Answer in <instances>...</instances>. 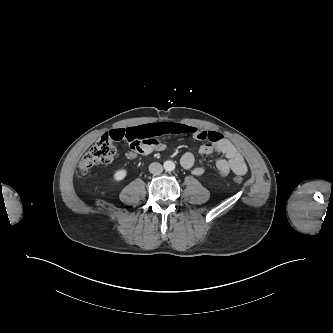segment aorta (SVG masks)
I'll return each instance as SVG.
<instances>
[{
	"mask_svg": "<svg viewBox=\"0 0 333 333\" xmlns=\"http://www.w3.org/2000/svg\"><path fill=\"white\" fill-rule=\"evenodd\" d=\"M164 168L168 172L173 171L175 169V163L171 160H167L164 162Z\"/></svg>",
	"mask_w": 333,
	"mask_h": 333,
	"instance_id": "obj_1",
	"label": "aorta"
}]
</instances>
